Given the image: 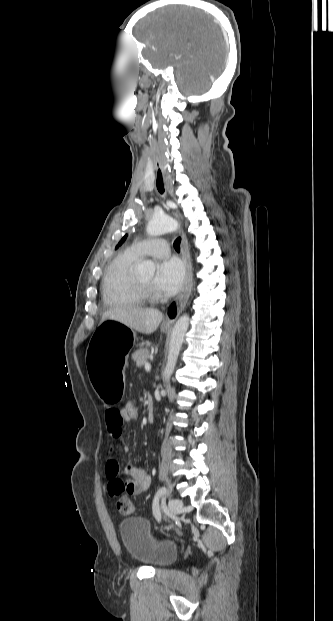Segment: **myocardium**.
I'll use <instances>...</instances> for the list:
<instances>
[{
    "mask_svg": "<svg viewBox=\"0 0 333 621\" xmlns=\"http://www.w3.org/2000/svg\"><path fill=\"white\" fill-rule=\"evenodd\" d=\"M137 283L139 289L148 300H158L161 298L160 294L155 290V288L147 286L141 283L139 280H137Z\"/></svg>",
    "mask_w": 333,
    "mask_h": 621,
    "instance_id": "obj_1",
    "label": "myocardium"
}]
</instances>
